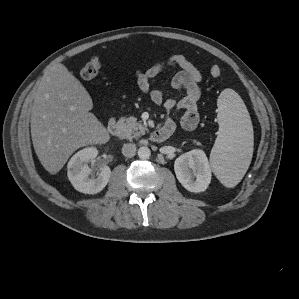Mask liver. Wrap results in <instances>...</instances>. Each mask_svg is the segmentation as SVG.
<instances>
[{
    "instance_id": "obj_1",
    "label": "liver",
    "mask_w": 299,
    "mask_h": 299,
    "mask_svg": "<svg viewBox=\"0 0 299 299\" xmlns=\"http://www.w3.org/2000/svg\"><path fill=\"white\" fill-rule=\"evenodd\" d=\"M92 108L89 93L63 64L45 72L34 95L30 122L35 153L50 174H57L78 148L110 139L89 112Z\"/></svg>"
}]
</instances>
